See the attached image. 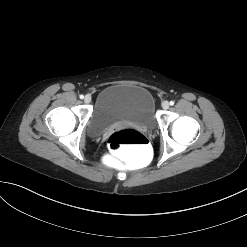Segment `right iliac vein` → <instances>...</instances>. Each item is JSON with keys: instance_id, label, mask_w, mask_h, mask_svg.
I'll return each instance as SVG.
<instances>
[{"instance_id": "63e3f726", "label": "right iliac vein", "mask_w": 247, "mask_h": 247, "mask_svg": "<svg viewBox=\"0 0 247 247\" xmlns=\"http://www.w3.org/2000/svg\"><path fill=\"white\" fill-rule=\"evenodd\" d=\"M84 102H85L86 104H89V103L91 102V96H90V95H86V96L84 97Z\"/></svg>"}]
</instances>
